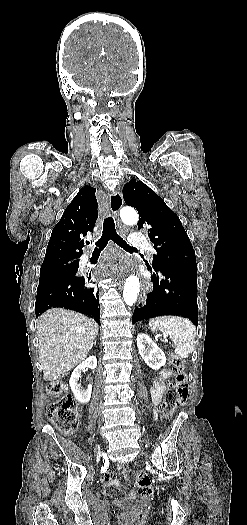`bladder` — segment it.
Listing matches in <instances>:
<instances>
[{
	"label": "bladder",
	"mask_w": 247,
	"mask_h": 525,
	"mask_svg": "<svg viewBox=\"0 0 247 525\" xmlns=\"http://www.w3.org/2000/svg\"><path fill=\"white\" fill-rule=\"evenodd\" d=\"M116 507H119L122 511L128 512L134 508L143 507V503L140 501L134 502L133 500L126 498H119L114 502Z\"/></svg>",
	"instance_id": "bladder-1"
}]
</instances>
